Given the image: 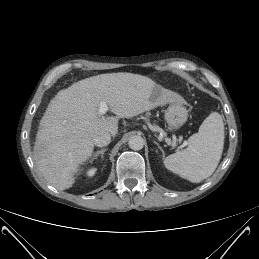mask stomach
Returning <instances> with one entry per match:
<instances>
[{
	"instance_id": "1",
	"label": "stomach",
	"mask_w": 259,
	"mask_h": 259,
	"mask_svg": "<svg viewBox=\"0 0 259 259\" xmlns=\"http://www.w3.org/2000/svg\"><path fill=\"white\" fill-rule=\"evenodd\" d=\"M188 118L186 108L179 103H171L165 111V120L170 131L178 130Z\"/></svg>"
}]
</instances>
